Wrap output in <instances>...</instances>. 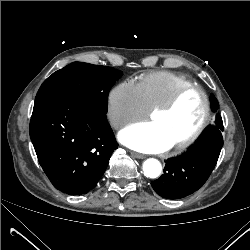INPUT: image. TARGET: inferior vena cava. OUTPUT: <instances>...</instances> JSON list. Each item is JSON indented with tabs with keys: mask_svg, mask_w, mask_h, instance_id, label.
<instances>
[{
	"mask_svg": "<svg viewBox=\"0 0 250 250\" xmlns=\"http://www.w3.org/2000/svg\"><path fill=\"white\" fill-rule=\"evenodd\" d=\"M122 125H123L122 122H116V123H115V126H117V127L122 126Z\"/></svg>",
	"mask_w": 250,
	"mask_h": 250,
	"instance_id": "602c4592",
	"label": "inferior vena cava"
}]
</instances>
